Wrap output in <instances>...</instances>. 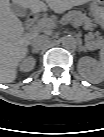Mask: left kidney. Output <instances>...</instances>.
<instances>
[{
	"instance_id": "5707ae66",
	"label": "left kidney",
	"mask_w": 104,
	"mask_h": 137,
	"mask_svg": "<svg viewBox=\"0 0 104 137\" xmlns=\"http://www.w3.org/2000/svg\"><path fill=\"white\" fill-rule=\"evenodd\" d=\"M79 67L82 74L86 75L94 82H100L103 79L104 65L89 57H82L79 60Z\"/></svg>"
}]
</instances>
